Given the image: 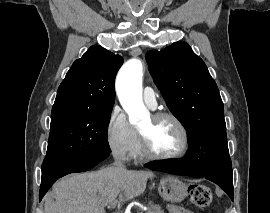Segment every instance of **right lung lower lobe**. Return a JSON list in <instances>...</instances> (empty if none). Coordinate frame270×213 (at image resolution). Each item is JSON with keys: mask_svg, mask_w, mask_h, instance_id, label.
Returning a JSON list of instances; mask_svg holds the SVG:
<instances>
[{"mask_svg": "<svg viewBox=\"0 0 270 213\" xmlns=\"http://www.w3.org/2000/svg\"><path fill=\"white\" fill-rule=\"evenodd\" d=\"M108 156L109 153H101L87 159L72 160L42 166V181L39 199L41 200L43 198L45 193L57 179L70 173L88 171L94 166H96L99 162L106 159Z\"/></svg>", "mask_w": 270, "mask_h": 213, "instance_id": "98d812e1", "label": "right lung lower lobe"}]
</instances>
